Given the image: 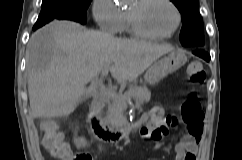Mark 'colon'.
Here are the masks:
<instances>
[{
  "label": "colon",
  "instance_id": "1",
  "mask_svg": "<svg viewBox=\"0 0 242 160\" xmlns=\"http://www.w3.org/2000/svg\"><path fill=\"white\" fill-rule=\"evenodd\" d=\"M189 80L195 84H201L205 81L206 73L201 62L193 61L187 67ZM181 117L187 124L189 134H197L202 127L203 112L194 93H189L184 100L181 108ZM43 144L50 152L52 157L57 160H67L69 150L67 143L64 141L63 134L57 122L45 120L42 123ZM152 136L160 138L161 133L155 131ZM74 160H92L89 154L80 153L74 155Z\"/></svg>",
  "mask_w": 242,
  "mask_h": 160
}]
</instances>
